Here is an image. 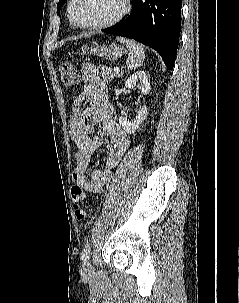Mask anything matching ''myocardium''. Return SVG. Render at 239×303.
<instances>
[{
  "label": "myocardium",
  "mask_w": 239,
  "mask_h": 303,
  "mask_svg": "<svg viewBox=\"0 0 239 303\" xmlns=\"http://www.w3.org/2000/svg\"><path fill=\"white\" fill-rule=\"evenodd\" d=\"M80 0H73L72 6H71V15L74 23L83 29L87 30H98V29H105L111 26L116 25L120 21H122L130 12L131 10V0H122V10L118 15H116L114 18L102 22V23H96V24H85L83 23L77 14V6Z\"/></svg>",
  "instance_id": "1"
}]
</instances>
